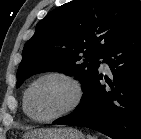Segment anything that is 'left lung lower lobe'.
Masks as SVG:
<instances>
[{"instance_id":"left-lung-lower-lobe-1","label":"left lung lower lobe","mask_w":141,"mask_h":139,"mask_svg":"<svg viewBox=\"0 0 141 139\" xmlns=\"http://www.w3.org/2000/svg\"><path fill=\"white\" fill-rule=\"evenodd\" d=\"M113 74L93 76L81 103L54 124L88 127L115 139H141V26L115 43L103 57Z\"/></svg>"}]
</instances>
